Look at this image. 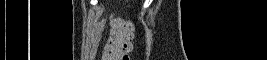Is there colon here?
<instances>
[{"label": "colon", "instance_id": "5ec220e1", "mask_svg": "<svg viewBox=\"0 0 267 60\" xmlns=\"http://www.w3.org/2000/svg\"><path fill=\"white\" fill-rule=\"evenodd\" d=\"M112 21L115 23V28L102 48L101 58L103 60H129L135 24L126 17H117Z\"/></svg>", "mask_w": 267, "mask_h": 60}]
</instances>
